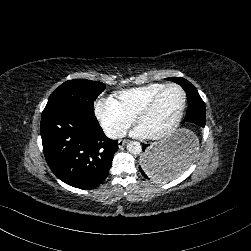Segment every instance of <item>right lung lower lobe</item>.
<instances>
[{"instance_id":"1","label":"right lung lower lobe","mask_w":251,"mask_h":251,"mask_svg":"<svg viewBox=\"0 0 251 251\" xmlns=\"http://www.w3.org/2000/svg\"><path fill=\"white\" fill-rule=\"evenodd\" d=\"M40 134L50 169L66 184L91 189L108 176L118 142L104 135L94 112L45 108Z\"/></svg>"}]
</instances>
